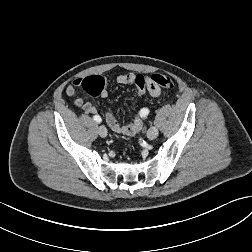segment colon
Returning <instances> with one entry per match:
<instances>
[{
    "label": "colon",
    "mask_w": 252,
    "mask_h": 252,
    "mask_svg": "<svg viewBox=\"0 0 252 252\" xmlns=\"http://www.w3.org/2000/svg\"><path fill=\"white\" fill-rule=\"evenodd\" d=\"M150 80L164 89L170 90L174 87L172 79L165 75L154 74L151 76ZM135 85L138 95L141 96L146 92L147 81L143 75H137ZM81 88L91 96H98L101 95L102 91L106 88V82L101 76H88L82 79Z\"/></svg>",
    "instance_id": "5ec220e1"
}]
</instances>
